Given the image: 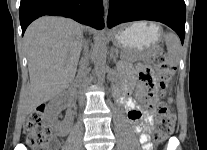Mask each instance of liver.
Here are the masks:
<instances>
[{
	"label": "liver",
	"instance_id": "liver-1",
	"mask_svg": "<svg viewBox=\"0 0 207 150\" xmlns=\"http://www.w3.org/2000/svg\"><path fill=\"white\" fill-rule=\"evenodd\" d=\"M84 27L67 18L45 16L24 34L30 88L25 112L54 98L73 83L83 46Z\"/></svg>",
	"mask_w": 207,
	"mask_h": 150
}]
</instances>
